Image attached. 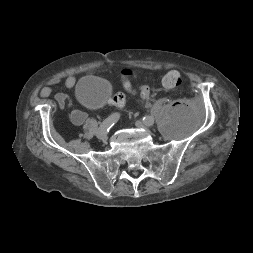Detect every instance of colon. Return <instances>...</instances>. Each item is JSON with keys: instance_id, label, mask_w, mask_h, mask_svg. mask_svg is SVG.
Listing matches in <instances>:
<instances>
[{"instance_id": "colon-1", "label": "colon", "mask_w": 253, "mask_h": 253, "mask_svg": "<svg viewBox=\"0 0 253 253\" xmlns=\"http://www.w3.org/2000/svg\"><path fill=\"white\" fill-rule=\"evenodd\" d=\"M134 76V72L131 69L122 70V83L126 91L136 93L141 98H148L150 96V90L147 86L133 87L131 84V78ZM181 83V76L177 71H170L162 78V84L165 88H174ZM109 104L118 108H123L126 103V99L123 93H115L109 99Z\"/></svg>"}]
</instances>
